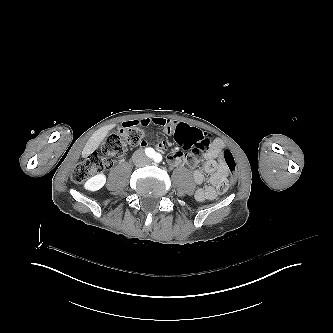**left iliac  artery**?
<instances>
[{
	"instance_id": "44dca946",
	"label": "left iliac artery",
	"mask_w": 333,
	"mask_h": 333,
	"mask_svg": "<svg viewBox=\"0 0 333 333\" xmlns=\"http://www.w3.org/2000/svg\"><path fill=\"white\" fill-rule=\"evenodd\" d=\"M162 160V156L159 154V153H156L155 155H154V161L155 162H160Z\"/></svg>"
}]
</instances>
